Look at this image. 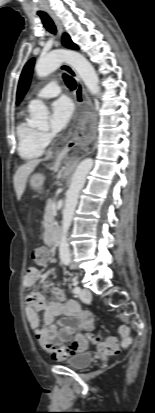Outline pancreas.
<instances>
[{
    "label": "pancreas",
    "instance_id": "1",
    "mask_svg": "<svg viewBox=\"0 0 155 413\" xmlns=\"http://www.w3.org/2000/svg\"><path fill=\"white\" fill-rule=\"evenodd\" d=\"M46 217L48 218L47 223L51 226L54 225V200L48 199L47 206H46Z\"/></svg>",
    "mask_w": 155,
    "mask_h": 413
}]
</instances>
